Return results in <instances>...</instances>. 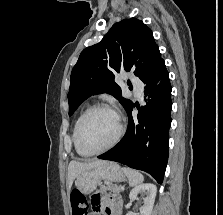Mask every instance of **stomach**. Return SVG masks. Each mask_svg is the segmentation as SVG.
<instances>
[{
  "label": "stomach",
  "instance_id": "stomach-1",
  "mask_svg": "<svg viewBox=\"0 0 223 215\" xmlns=\"http://www.w3.org/2000/svg\"><path fill=\"white\" fill-rule=\"evenodd\" d=\"M125 173L116 161H103L101 165L86 169L82 173H78L74 189L79 193H91L96 189L97 180L108 179L109 181H125Z\"/></svg>",
  "mask_w": 223,
  "mask_h": 215
}]
</instances>
